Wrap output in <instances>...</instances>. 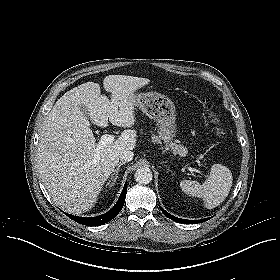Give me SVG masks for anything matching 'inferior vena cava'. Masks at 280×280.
I'll use <instances>...</instances> for the list:
<instances>
[{"instance_id": "obj_1", "label": "inferior vena cava", "mask_w": 280, "mask_h": 280, "mask_svg": "<svg viewBox=\"0 0 280 280\" xmlns=\"http://www.w3.org/2000/svg\"><path fill=\"white\" fill-rule=\"evenodd\" d=\"M133 152L130 150H124L119 154V160L121 162H130L133 159Z\"/></svg>"}]
</instances>
